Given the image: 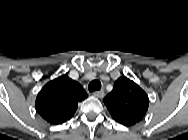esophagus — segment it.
I'll list each match as a JSON object with an SVG mask.
<instances>
[{"label":"esophagus","instance_id":"esophagus-1","mask_svg":"<svg viewBox=\"0 0 188 140\" xmlns=\"http://www.w3.org/2000/svg\"><path fill=\"white\" fill-rule=\"evenodd\" d=\"M93 95L97 98H103L105 96V93L103 90H97L93 92Z\"/></svg>","mask_w":188,"mask_h":140}]
</instances>
